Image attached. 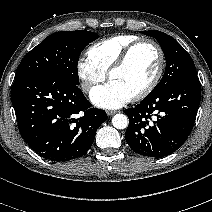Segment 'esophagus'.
Here are the masks:
<instances>
[{"mask_svg": "<svg viewBox=\"0 0 212 212\" xmlns=\"http://www.w3.org/2000/svg\"><path fill=\"white\" fill-rule=\"evenodd\" d=\"M115 113H116V111H112V110H111V111H107V115H108V116H112V115H114Z\"/></svg>", "mask_w": 212, "mask_h": 212, "instance_id": "1", "label": "esophagus"}]
</instances>
